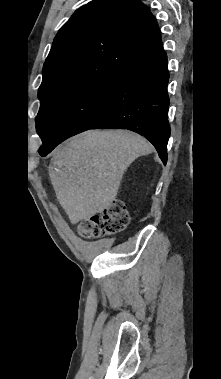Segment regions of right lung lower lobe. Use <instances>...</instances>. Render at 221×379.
I'll return each mask as SVG.
<instances>
[{
    "mask_svg": "<svg viewBox=\"0 0 221 379\" xmlns=\"http://www.w3.org/2000/svg\"><path fill=\"white\" fill-rule=\"evenodd\" d=\"M169 73L166 53L139 64L119 79L113 101L103 117L91 129H129L148 139L156 148L164 165L167 162ZM64 138L47 149H39L46 156Z\"/></svg>",
    "mask_w": 221,
    "mask_h": 379,
    "instance_id": "obj_1",
    "label": "right lung lower lobe"
}]
</instances>
